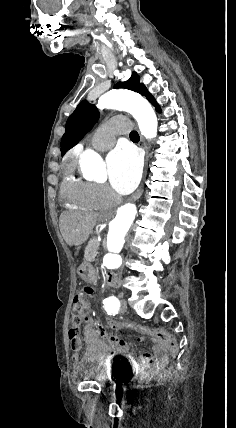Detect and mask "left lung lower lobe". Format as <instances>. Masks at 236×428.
Here are the masks:
<instances>
[{"instance_id":"left-lung-lower-lobe-1","label":"left lung lower lobe","mask_w":236,"mask_h":428,"mask_svg":"<svg viewBox=\"0 0 236 428\" xmlns=\"http://www.w3.org/2000/svg\"><path fill=\"white\" fill-rule=\"evenodd\" d=\"M156 110H157L158 112H160V108H159V107H157V108H156Z\"/></svg>"}]
</instances>
